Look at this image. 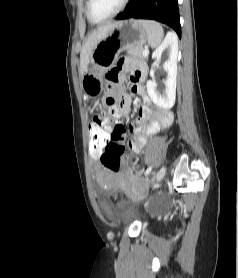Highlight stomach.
Here are the masks:
<instances>
[{
    "label": "stomach",
    "mask_w": 238,
    "mask_h": 278,
    "mask_svg": "<svg viewBox=\"0 0 238 278\" xmlns=\"http://www.w3.org/2000/svg\"><path fill=\"white\" fill-rule=\"evenodd\" d=\"M148 39L146 28L138 20L119 21L92 50L90 62L92 69L81 80L87 97H97L104 90L103 76L108 67L115 64L119 53L128 46H143Z\"/></svg>",
    "instance_id": "1"
}]
</instances>
